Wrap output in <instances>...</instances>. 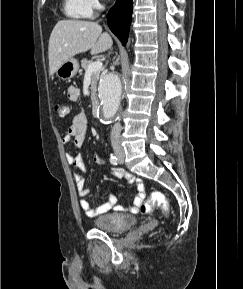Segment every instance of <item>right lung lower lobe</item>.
I'll use <instances>...</instances> for the list:
<instances>
[{"label": "right lung lower lobe", "instance_id": "1", "mask_svg": "<svg viewBox=\"0 0 243 289\" xmlns=\"http://www.w3.org/2000/svg\"><path fill=\"white\" fill-rule=\"evenodd\" d=\"M132 19V0H117L115 6L107 14V22L111 31L125 45Z\"/></svg>", "mask_w": 243, "mask_h": 289}]
</instances>
